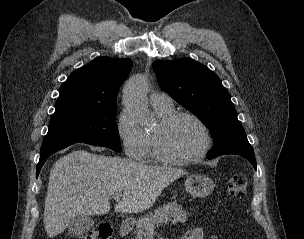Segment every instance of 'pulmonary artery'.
Instances as JSON below:
<instances>
[{
    "instance_id": "e3ab8cb5",
    "label": "pulmonary artery",
    "mask_w": 304,
    "mask_h": 239,
    "mask_svg": "<svg viewBox=\"0 0 304 239\" xmlns=\"http://www.w3.org/2000/svg\"><path fill=\"white\" fill-rule=\"evenodd\" d=\"M151 104H172L171 98L164 93H152L150 95Z\"/></svg>"
}]
</instances>
